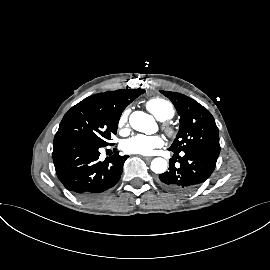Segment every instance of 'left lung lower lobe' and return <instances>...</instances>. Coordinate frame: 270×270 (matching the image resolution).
Masks as SVG:
<instances>
[{
    "label": "left lung lower lobe",
    "mask_w": 270,
    "mask_h": 270,
    "mask_svg": "<svg viewBox=\"0 0 270 270\" xmlns=\"http://www.w3.org/2000/svg\"><path fill=\"white\" fill-rule=\"evenodd\" d=\"M180 163L175 167L176 160L169 161V171L159 175L160 185L177 194H187L204 183L213 173L217 155L199 150L183 152V156L174 152Z\"/></svg>",
    "instance_id": "left-lung-lower-lobe-1"
}]
</instances>
